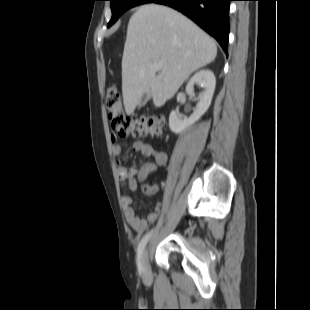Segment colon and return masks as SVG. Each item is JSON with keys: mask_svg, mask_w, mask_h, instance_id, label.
<instances>
[{"mask_svg": "<svg viewBox=\"0 0 310 310\" xmlns=\"http://www.w3.org/2000/svg\"><path fill=\"white\" fill-rule=\"evenodd\" d=\"M106 107L111 126L120 135L155 136L163 131L164 119L159 114H127L124 111L118 88L114 83H108L106 86Z\"/></svg>", "mask_w": 310, "mask_h": 310, "instance_id": "colon-1", "label": "colon"}]
</instances>
